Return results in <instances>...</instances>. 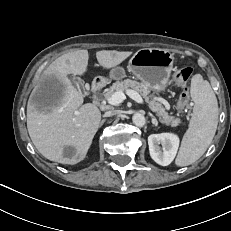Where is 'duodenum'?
Returning <instances> with one entry per match:
<instances>
[{"mask_svg": "<svg viewBox=\"0 0 231 231\" xmlns=\"http://www.w3.org/2000/svg\"><path fill=\"white\" fill-rule=\"evenodd\" d=\"M104 86V80L101 78H96L91 85V92L93 94L97 93Z\"/></svg>", "mask_w": 231, "mask_h": 231, "instance_id": "410a0bca", "label": "duodenum"}]
</instances>
